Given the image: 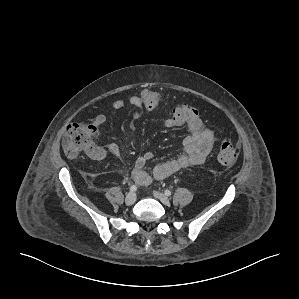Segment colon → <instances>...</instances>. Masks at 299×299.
Returning <instances> with one entry per match:
<instances>
[{"label": "colon", "mask_w": 299, "mask_h": 299, "mask_svg": "<svg viewBox=\"0 0 299 299\" xmlns=\"http://www.w3.org/2000/svg\"><path fill=\"white\" fill-rule=\"evenodd\" d=\"M140 98L146 111L163 113L164 102L158 92L152 89H145L140 93ZM168 118L178 126H184L199 118L198 110L182 103L170 107L167 110ZM96 135V128L81 122L68 125L63 139V150L67 157L75 158L83 151L92 152L95 149L93 139ZM239 156V149L229 141L221 144L217 159L220 164L231 166L236 163Z\"/></svg>", "instance_id": "5ec220e1"}]
</instances>
